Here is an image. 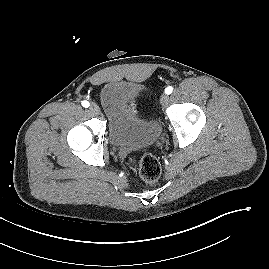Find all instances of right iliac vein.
<instances>
[{
    "label": "right iliac vein",
    "mask_w": 269,
    "mask_h": 269,
    "mask_svg": "<svg viewBox=\"0 0 269 269\" xmlns=\"http://www.w3.org/2000/svg\"><path fill=\"white\" fill-rule=\"evenodd\" d=\"M90 111L91 112H93L94 114H96V115H98V114H100V108H99V106L97 105V104H95V103H92L91 105H90Z\"/></svg>",
    "instance_id": "63e3f726"
}]
</instances>
